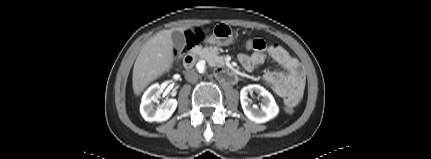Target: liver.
I'll list each match as a JSON object with an SVG mask.
<instances>
[{"instance_id": "1", "label": "liver", "mask_w": 431, "mask_h": 159, "mask_svg": "<svg viewBox=\"0 0 431 159\" xmlns=\"http://www.w3.org/2000/svg\"><path fill=\"white\" fill-rule=\"evenodd\" d=\"M187 27L162 30L142 47L133 68V91L139 96L154 80L172 68L174 61L172 32H184Z\"/></svg>"}]
</instances>
